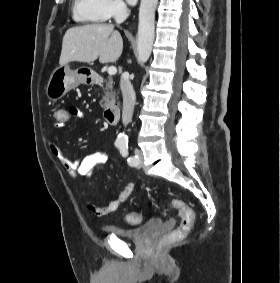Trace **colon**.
<instances>
[{
    "mask_svg": "<svg viewBox=\"0 0 280 283\" xmlns=\"http://www.w3.org/2000/svg\"><path fill=\"white\" fill-rule=\"evenodd\" d=\"M72 115L68 114V107H57L54 111V122L71 123ZM170 208L179 210L180 225L169 234L171 239H180L184 237L194 226L195 215L193 210L183 200L173 198L170 201ZM141 215L137 212H128L125 214V220L129 224H138L141 222Z\"/></svg>",
    "mask_w": 280,
    "mask_h": 283,
    "instance_id": "1",
    "label": "colon"
}]
</instances>
